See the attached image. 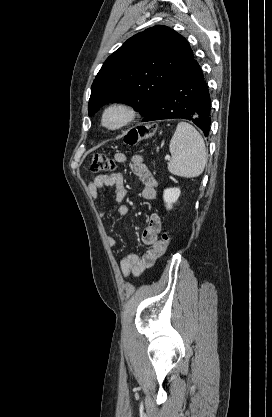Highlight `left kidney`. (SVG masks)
I'll return each mask as SVG.
<instances>
[{
	"label": "left kidney",
	"mask_w": 272,
	"mask_h": 417,
	"mask_svg": "<svg viewBox=\"0 0 272 417\" xmlns=\"http://www.w3.org/2000/svg\"><path fill=\"white\" fill-rule=\"evenodd\" d=\"M180 193L181 191L179 188H169L164 190L163 200L166 203L167 209H172V205L178 200Z\"/></svg>",
	"instance_id": "obj_1"
}]
</instances>
